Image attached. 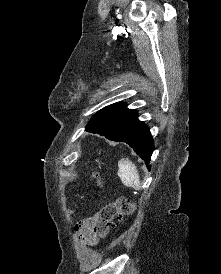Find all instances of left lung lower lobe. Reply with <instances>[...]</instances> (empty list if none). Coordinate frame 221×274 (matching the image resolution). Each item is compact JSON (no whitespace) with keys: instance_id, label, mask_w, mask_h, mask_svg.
<instances>
[{"instance_id":"0a47b994","label":"left lung lower lobe","mask_w":221,"mask_h":274,"mask_svg":"<svg viewBox=\"0 0 221 274\" xmlns=\"http://www.w3.org/2000/svg\"><path fill=\"white\" fill-rule=\"evenodd\" d=\"M86 131L104 135L107 139L125 142L145 161L150 169L154 142L149 128L138 120L137 112L125 103H115L100 110Z\"/></svg>"}]
</instances>
